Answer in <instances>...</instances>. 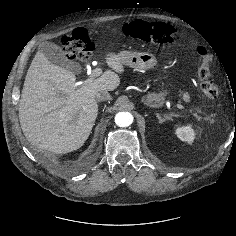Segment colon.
<instances>
[{"label": "colon", "mask_w": 236, "mask_h": 236, "mask_svg": "<svg viewBox=\"0 0 236 236\" xmlns=\"http://www.w3.org/2000/svg\"><path fill=\"white\" fill-rule=\"evenodd\" d=\"M124 33L132 38L153 44H169L174 40V30L165 23L147 22L141 19L132 20L124 25ZM64 51L68 58L85 61L90 57L93 44L84 28H76L63 37ZM198 53L203 61L198 69V78L202 92L211 99L221 94V85L211 74V57L205 47H199Z\"/></svg>", "instance_id": "obj_1"}]
</instances>
